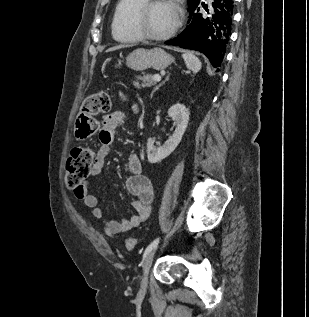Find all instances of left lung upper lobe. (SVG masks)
Masks as SVG:
<instances>
[{
	"mask_svg": "<svg viewBox=\"0 0 309 317\" xmlns=\"http://www.w3.org/2000/svg\"><path fill=\"white\" fill-rule=\"evenodd\" d=\"M200 2V0H188L189 8L197 5Z\"/></svg>",
	"mask_w": 309,
	"mask_h": 317,
	"instance_id": "obj_1",
	"label": "left lung upper lobe"
}]
</instances>
